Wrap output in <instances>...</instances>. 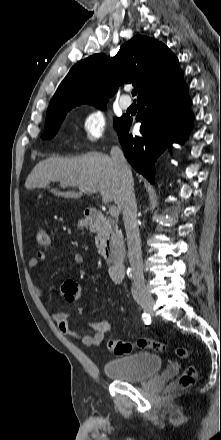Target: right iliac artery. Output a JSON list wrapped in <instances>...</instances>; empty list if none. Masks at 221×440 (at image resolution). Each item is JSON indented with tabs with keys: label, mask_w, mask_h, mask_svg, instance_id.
<instances>
[{
	"label": "right iliac artery",
	"mask_w": 221,
	"mask_h": 440,
	"mask_svg": "<svg viewBox=\"0 0 221 440\" xmlns=\"http://www.w3.org/2000/svg\"><path fill=\"white\" fill-rule=\"evenodd\" d=\"M142 320H143L146 324H149V323H150V320H151L150 315H149V314H146V313H143V314H142Z\"/></svg>",
	"instance_id": "obj_1"
}]
</instances>
